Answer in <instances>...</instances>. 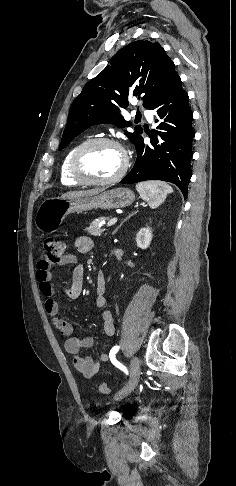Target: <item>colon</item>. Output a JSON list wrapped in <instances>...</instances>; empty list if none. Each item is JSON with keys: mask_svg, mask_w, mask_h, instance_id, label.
<instances>
[{"mask_svg": "<svg viewBox=\"0 0 236 486\" xmlns=\"http://www.w3.org/2000/svg\"><path fill=\"white\" fill-rule=\"evenodd\" d=\"M43 248L46 253V258L52 263H57L65 255L67 244L65 241L56 237L48 236L43 241ZM98 389L106 395L111 393V389L105 383H100Z\"/></svg>", "mask_w": 236, "mask_h": 486, "instance_id": "5ec220e1", "label": "colon"}]
</instances>
